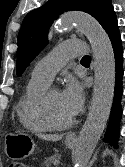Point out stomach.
<instances>
[{
    "mask_svg": "<svg viewBox=\"0 0 125 167\" xmlns=\"http://www.w3.org/2000/svg\"><path fill=\"white\" fill-rule=\"evenodd\" d=\"M68 147L73 143L67 142ZM35 142L28 134L22 132L8 133L5 142V153L12 159H22L33 154Z\"/></svg>",
    "mask_w": 125,
    "mask_h": 167,
    "instance_id": "0dacf381",
    "label": "stomach"
}]
</instances>
